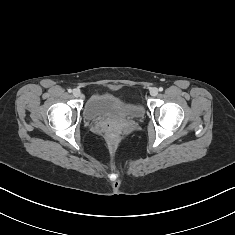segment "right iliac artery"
<instances>
[{
  "label": "right iliac artery",
  "mask_w": 235,
  "mask_h": 235,
  "mask_svg": "<svg viewBox=\"0 0 235 235\" xmlns=\"http://www.w3.org/2000/svg\"><path fill=\"white\" fill-rule=\"evenodd\" d=\"M68 92L71 93V92H72V89H68Z\"/></svg>",
  "instance_id": "82829eb1"
}]
</instances>
